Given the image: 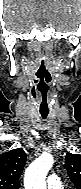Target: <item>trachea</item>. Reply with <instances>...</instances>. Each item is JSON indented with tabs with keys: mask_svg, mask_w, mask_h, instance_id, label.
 Returning <instances> with one entry per match:
<instances>
[{
	"mask_svg": "<svg viewBox=\"0 0 81 189\" xmlns=\"http://www.w3.org/2000/svg\"><path fill=\"white\" fill-rule=\"evenodd\" d=\"M40 114L43 119H46L48 116V112H40Z\"/></svg>",
	"mask_w": 81,
	"mask_h": 189,
	"instance_id": "1",
	"label": "trachea"
}]
</instances>
